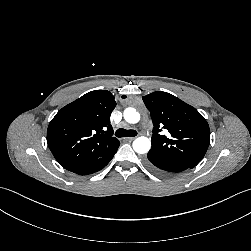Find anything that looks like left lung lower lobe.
Instances as JSON below:
<instances>
[{"mask_svg":"<svg viewBox=\"0 0 251 251\" xmlns=\"http://www.w3.org/2000/svg\"><path fill=\"white\" fill-rule=\"evenodd\" d=\"M146 165L151 171L164 177L176 175L190 168L179 161L151 152H148Z\"/></svg>","mask_w":251,"mask_h":251,"instance_id":"0a47b994","label":"left lung lower lobe"}]
</instances>
